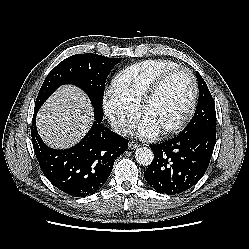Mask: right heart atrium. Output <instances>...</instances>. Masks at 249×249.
Returning <instances> with one entry per match:
<instances>
[{"instance_id":"right-heart-atrium-1","label":"right heart atrium","mask_w":249,"mask_h":249,"mask_svg":"<svg viewBox=\"0 0 249 249\" xmlns=\"http://www.w3.org/2000/svg\"><path fill=\"white\" fill-rule=\"evenodd\" d=\"M104 114L110 124L119 134L128 133L135 124L138 111L108 91L102 101Z\"/></svg>"}]
</instances>
